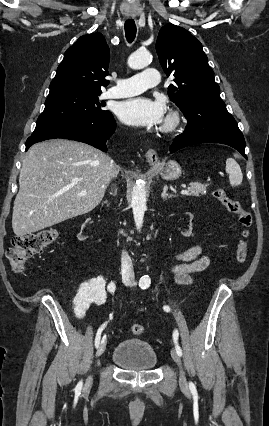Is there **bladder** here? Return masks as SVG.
<instances>
[{
  "instance_id": "bladder-1",
  "label": "bladder",
  "mask_w": 269,
  "mask_h": 426,
  "mask_svg": "<svg viewBox=\"0 0 269 426\" xmlns=\"http://www.w3.org/2000/svg\"><path fill=\"white\" fill-rule=\"evenodd\" d=\"M111 359L118 368L127 372H150L158 364L154 349L140 339L120 341L114 347Z\"/></svg>"
}]
</instances>
